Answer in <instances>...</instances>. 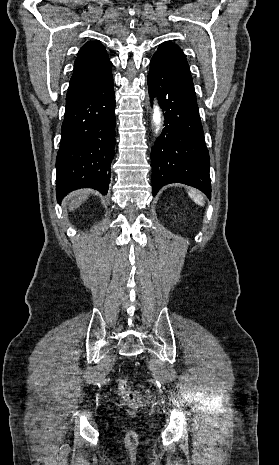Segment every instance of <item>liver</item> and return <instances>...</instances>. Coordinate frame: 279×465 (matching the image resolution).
I'll list each match as a JSON object with an SVG mask.
<instances>
[{"instance_id": "6515ba94", "label": "liver", "mask_w": 279, "mask_h": 465, "mask_svg": "<svg viewBox=\"0 0 279 465\" xmlns=\"http://www.w3.org/2000/svg\"><path fill=\"white\" fill-rule=\"evenodd\" d=\"M89 194L90 190L88 189L78 190L70 194L67 197V200L70 201V210L73 211L74 209L78 208L87 199Z\"/></svg>"}]
</instances>
